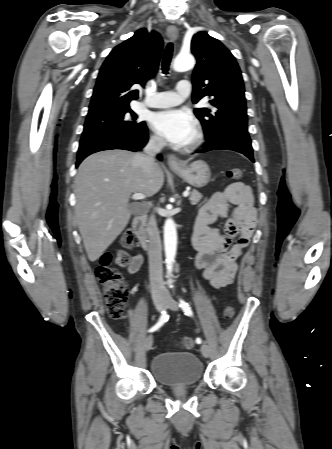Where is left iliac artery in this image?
I'll use <instances>...</instances> for the list:
<instances>
[{"mask_svg": "<svg viewBox=\"0 0 332 449\" xmlns=\"http://www.w3.org/2000/svg\"><path fill=\"white\" fill-rule=\"evenodd\" d=\"M179 302H180L179 305H180L181 309L183 310V312L186 315H188V316H192L193 312H192V309H191L190 305L186 301H184L183 299H179ZM196 343L197 344H201L202 343L201 338H197L196 339Z\"/></svg>", "mask_w": 332, "mask_h": 449, "instance_id": "left-iliac-artery-1", "label": "left iliac artery"}]
</instances>
